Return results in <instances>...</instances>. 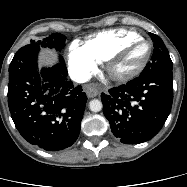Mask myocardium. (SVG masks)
<instances>
[{"label":"myocardium","instance_id":"f54148a6","mask_svg":"<svg viewBox=\"0 0 187 187\" xmlns=\"http://www.w3.org/2000/svg\"><path fill=\"white\" fill-rule=\"evenodd\" d=\"M138 42H145L148 45V51L147 54L145 56V58L143 59V61L141 62V64L139 66H137L135 69L124 73V74H117L113 71V66L114 64L119 61L124 54L136 43ZM152 50H153V45L151 43L150 40L144 38V37H139L137 39H133L130 40L126 43H124L123 45H121L119 48H117L115 51H113L108 57L107 59L104 61V67L105 70L107 71V73L110 75V77L118 82H125V81H129L133 78H135L136 76H138L147 66L151 55H152Z\"/></svg>","mask_w":187,"mask_h":187}]
</instances>
